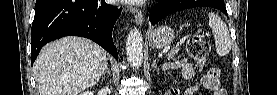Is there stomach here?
Returning a JSON list of instances; mask_svg holds the SVG:
<instances>
[{"mask_svg": "<svg viewBox=\"0 0 277 95\" xmlns=\"http://www.w3.org/2000/svg\"><path fill=\"white\" fill-rule=\"evenodd\" d=\"M175 38V32L169 26H159L149 33L151 47L161 49L169 45Z\"/></svg>", "mask_w": 277, "mask_h": 95, "instance_id": "stomach-1", "label": "stomach"}]
</instances>
